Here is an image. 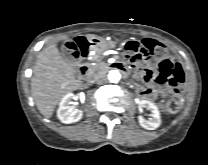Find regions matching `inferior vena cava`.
Returning <instances> with one entry per match:
<instances>
[{
  "label": "inferior vena cava",
  "mask_w": 208,
  "mask_h": 165,
  "mask_svg": "<svg viewBox=\"0 0 208 165\" xmlns=\"http://www.w3.org/2000/svg\"><path fill=\"white\" fill-rule=\"evenodd\" d=\"M96 82H97L98 84L106 83V82H107V77H106V75H104V74L98 75V76L96 77Z\"/></svg>",
  "instance_id": "1"
}]
</instances>
